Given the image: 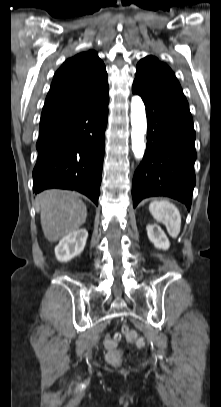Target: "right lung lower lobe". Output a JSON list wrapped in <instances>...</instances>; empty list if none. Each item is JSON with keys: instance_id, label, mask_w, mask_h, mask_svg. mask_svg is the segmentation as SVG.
Masks as SVG:
<instances>
[{"instance_id": "obj_1", "label": "right lung lower lobe", "mask_w": 221, "mask_h": 407, "mask_svg": "<svg viewBox=\"0 0 221 407\" xmlns=\"http://www.w3.org/2000/svg\"><path fill=\"white\" fill-rule=\"evenodd\" d=\"M108 102L107 92L85 105L41 116L33 192L77 190L98 205Z\"/></svg>"}]
</instances>
